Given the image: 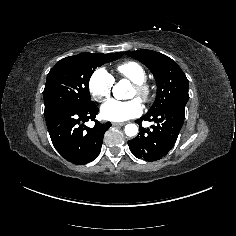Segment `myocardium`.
<instances>
[{
	"label": "myocardium",
	"mask_w": 236,
	"mask_h": 236,
	"mask_svg": "<svg viewBox=\"0 0 236 236\" xmlns=\"http://www.w3.org/2000/svg\"><path fill=\"white\" fill-rule=\"evenodd\" d=\"M132 87L138 93V100L145 103L149 100L151 94L150 85L146 82V80L134 81L132 82Z\"/></svg>",
	"instance_id": "obj_1"
}]
</instances>
